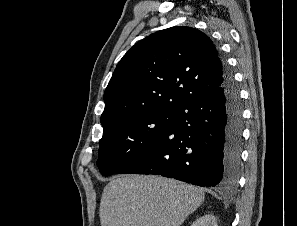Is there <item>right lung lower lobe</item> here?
<instances>
[{
  "instance_id": "98d812e1",
  "label": "right lung lower lobe",
  "mask_w": 297,
  "mask_h": 226,
  "mask_svg": "<svg viewBox=\"0 0 297 226\" xmlns=\"http://www.w3.org/2000/svg\"><path fill=\"white\" fill-rule=\"evenodd\" d=\"M221 86L189 98L172 125L117 173L154 174L198 186H236L243 131L239 90L223 63Z\"/></svg>"
}]
</instances>
